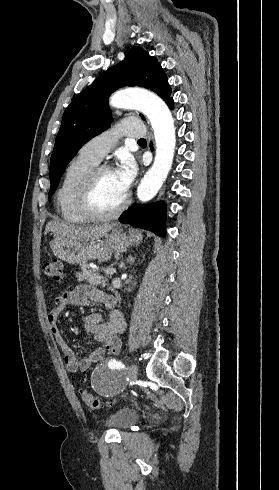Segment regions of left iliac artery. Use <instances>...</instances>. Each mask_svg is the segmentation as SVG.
Wrapping results in <instances>:
<instances>
[{
    "instance_id": "obj_1",
    "label": "left iliac artery",
    "mask_w": 279,
    "mask_h": 490,
    "mask_svg": "<svg viewBox=\"0 0 279 490\" xmlns=\"http://www.w3.org/2000/svg\"><path fill=\"white\" fill-rule=\"evenodd\" d=\"M109 366H110L111 368H114V369H115V368H116V369H123V368L125 367V366H124V364H123L122 362H120V361H116L115 359H113V360L109 361Z\"/></svg>"
}]
</instances>
